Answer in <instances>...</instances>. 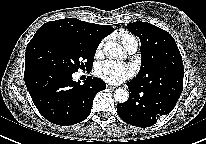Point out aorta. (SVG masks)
<instances>
[{
    "label": "aorta",
    "mask_w": 206,
    "mask_h": 144,
    "mask_svg": "<svg viewBox=\"0 0 206 144\" xmlns=\"http://www.w3.org/2000/svg\"><path fill=\"white\" fill-rule=\"evenodd\" d=\"M103 51L108 58L117 59L124 56L123 47L115 42L108 41L104 45ZM129 98V93L125 89H117L114 92V99L118 103H125Z\"/></svg>",
    "instance_id": "762f6f07"
}]
</instances>
